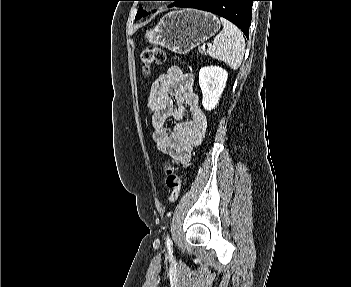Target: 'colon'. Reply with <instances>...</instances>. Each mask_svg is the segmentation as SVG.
Instances as JSON below:
<instances>
[{
    "instance_id": "1",
    "label": "colon",
    "mask_w": 351,
    "mask_h": 287,
    "mask_svg": "<svg viewBox=\"0 0 351 287\" xmlns=\"http://www.w3.org/2000/svg\"><path fill=\"white\" fill-rule=\"evenodd\" d=\"M140 59L142 62L143 69L146 73H149L153 66L162 65L166 61L165 52L157 47H147L140 53ZM166 172V185L168 188L167 199L170 203H174L178 200L181 191V178L170 166H165Z\"/></svg>"
}]
</instances>
